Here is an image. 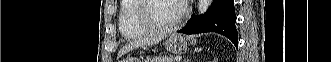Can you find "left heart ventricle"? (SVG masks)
I'll return each instance as SVG.
<instances>
[{
	"instance_id": "1",
	"label": "left heart ventricle",
	"mask_w": 331,
	"mask_h": 62,
	"mask_svg": "<svg viewBox=\"0 0 331 62\" xmlns=\"http://www.w3.org/2000/svg\"><path fill=\"white\" fill-rule=\"evenodd\" d=\"M180 14V4L174 0H152L149 3L147 16L157 25H169Z\"/></svg>"
}]
</instances>
